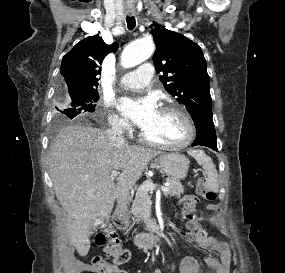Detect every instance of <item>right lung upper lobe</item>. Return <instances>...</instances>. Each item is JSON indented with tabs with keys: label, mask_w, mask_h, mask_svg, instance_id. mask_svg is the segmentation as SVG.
Returning <instances> with one entry per match:
<instances>
[{
	"label": "right lung upper lobe",
	"mask_w": 285,
	"mask_h": 273,
	"mask_svg": "<svg viewBox=\"0 0 285 273\" xmlns=\"http://www.w3.org/2000/svg\"><path fill=\"white\" fill-rule=\"evenodd\" d=\"M117 49L116 42L107 45L98 35L78 42L61 63L60 73L67 93L96 90L103 59Z\"/></svg>",
	"instance_id": "cb5924a9"
}]
</instances>
